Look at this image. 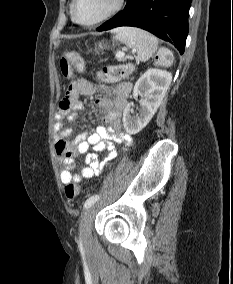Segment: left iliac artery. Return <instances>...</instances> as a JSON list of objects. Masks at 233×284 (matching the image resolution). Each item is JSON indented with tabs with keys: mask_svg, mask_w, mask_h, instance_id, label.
I'll list each match as a JSON object with an SVG mask.
<instances>
[{
	"mask_svg": "<svg viewBox=\"0 0 233 284\" xmlns=\"http://www.w3.org/2000/svg\"><path fill=\"white\" fill-rule=\"evenodd\" d=\"M99 198H100V195H97V194L89 197L84 204V208L85 209L90 208Z\"/></svg>",
	"mask_w": 233,
	"mask_h": 284,
	"instance_id": "44dca946",
	"label": "left iliac artery"
}]
</instances>
